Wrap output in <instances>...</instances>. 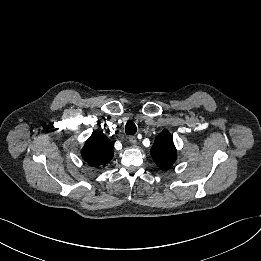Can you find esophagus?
I'll return each mask as SVG.
<instances>
[{"label": "esophagus", "instance_id": "esophagus-1", "mask_svg": "<svg viewBox=\"0 0 261 261\" xmlns=\"http://www.w3.org/2000/svg\"><path fill=\"white\" fill-rule=\"evenodd\" d=\"M129 141H130V143H132V144H134V145L137 144V139H136L135 136H130V137H129Z\"/></svg>", "mask_w": 261, "mask_h": 261}]
</instances>
